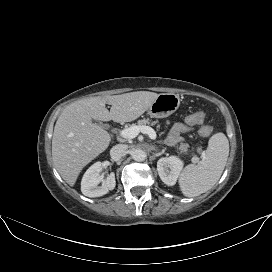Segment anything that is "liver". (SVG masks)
Returning a JSON list of instances; mask_svg holds the SVG:
<instances>
[{
  "label": "liver",
  "instance_id": "6515ba94",
  "mask_svg": "<svg viewBox=\"0 0 272 272\" xmlns=\"http://www.w3.org/2000/svg\"><path fill=\"white\" fill-rule=\"evenodd\" d=\"M158 95L137 91L81 99L66 106L58 117L52 138V157L61 177L74 186L81 170L108 148L110 135L92 119L134 121L150 108ZM105 104L111 105L110 111Z\"/></svg>",
  "mask_w": 272,
  "mask_h": 272
}]
</instances>
